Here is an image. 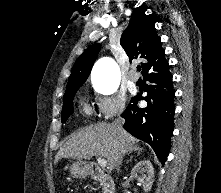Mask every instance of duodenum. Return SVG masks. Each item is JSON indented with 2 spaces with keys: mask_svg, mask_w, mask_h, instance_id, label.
Listing matches in <instances>:
<instances>
[{
  "mask_svg": "<svg viewBox=\"0 0 221 193\" xmlns=\"http://www.w3.org/2000/svg\"><path fill=\"white\" fill-rule=\"evenodd\" d=\"M88 175L99 181L104 189V193H115V185L113 179L102 171L97 165L92 163H87L81 166Z\"/></svg>",
  "mask_w": 221,
  "mask_h": 193,
  "instance_id": "410a0bca",
  "label": "duodenum"
}]
</instances>
